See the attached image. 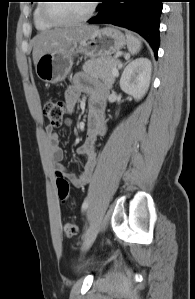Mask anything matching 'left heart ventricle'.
Listing matches in <instances>:
<instances>
[{
  "label": "left heart ventricle",
  "instance_id": "left-heart-ventricle-1",
  "mask_svg": "<svg viewBox=\"0 0 195 299\" xmlns=\"http://www.w3.org/2000/svg\"><path fill=\"white\" fill-rule=\"evenodd\" d=\"M90 7V1H70L52 3L49 12L60 20H71L84 16Z\"/></svg>",
  "mask_w": 195,
  "mask_h": 299
}]
</instances>
